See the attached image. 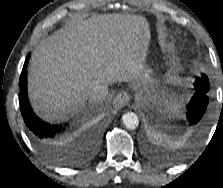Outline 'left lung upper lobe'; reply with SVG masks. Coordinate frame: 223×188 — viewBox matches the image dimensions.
I'll use <instances>...</instances> for the list:
<instances>
[{"instance_id": "obj_1", "label": "left lung upper lobe", "mask_w": 223, "mask_h": 188, "mask_svg": "<svg viewBox=\"0 0 223 188\" xmlns=\"http://www.w3.org/2000/svg\"><path fill=\"white\" fill-rule=\"evenodd\" d=\"M194 88L196 90L203 91L204 93H208L209 91V80L205 74H202L201 77L196 78V81L194 83ZM148 156L157 162H162L168 160V157L164 152L161 151H155V150H149Z\"/></svg>"}]
</instances>
